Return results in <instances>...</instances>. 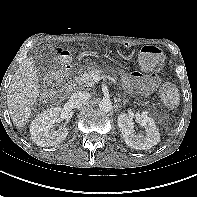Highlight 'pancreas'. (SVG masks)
<instances>
[{
    "instance_id": "1",
    "label": "pancreas",
    "mask_w": 197,
    "mask_h": 197,
    "mask_svg": "<svg viewBox=\"0 0 197 197\" xmlns=\"http://www.w3.org/2000/svg\"><path fill=\"white\" fill-rule=\"evenodd\" d=\"M98 75L101 77H105L104 73L100 69H88L83 74L74 78V85L79 87H93L95 85L94 76Z\"/></svg>"
}]
</instances>
